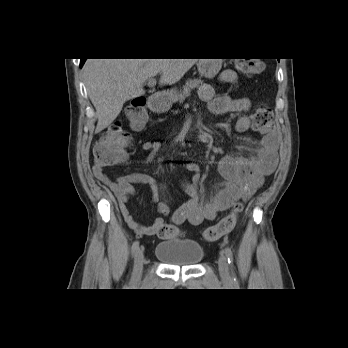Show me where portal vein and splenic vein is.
I'll list each match as a JSON object with an SVG mask.
<instances>
[{
  "mask_svg": "<svg viewBox=\"0 0 348 348\" xmlns=\"http://www.w3.org/2000/svg\"><path fill=\"white\" fill-rule=\"evenodd\" d=\"M156 84V80L154 78H150L148 80V86L153 87Z\"/></svg>",
  "mask_w": 348,
  "mask_h": 348,
  "instance_id": "obj_1",
  "label": "portal vein and splenic vein"
}]
</instances>
